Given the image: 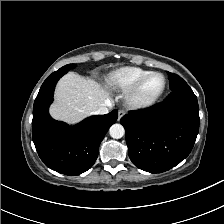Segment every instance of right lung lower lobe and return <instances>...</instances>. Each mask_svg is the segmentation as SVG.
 I'll return each instance as SVG.
<instances>
[{
    "mask_svg": "<svg viewBox=\"0 0 224 224\" xmlns=\"http://www.w3.org/2000/svg\"><path fill=\"white\" fill-rule=\"evenodd\" d=\"M67 72L56 71L42 84L33 106L32 139L39 157L50 169L79 175L87 171L98 156L106 132L118 118V111L92 116L69 127L48 113L57 81Z\"/></svg>",
    "mask_w": 224,
    "mask_h": 224,
    "instance_id": "obj_1",
    "label": "right lung lower lobe"
}]
</instances>
